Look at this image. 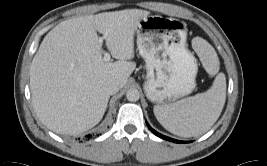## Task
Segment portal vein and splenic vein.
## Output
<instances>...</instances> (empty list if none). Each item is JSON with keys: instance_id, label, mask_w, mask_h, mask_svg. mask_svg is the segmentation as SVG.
I'll use <instances>...</instances> for the list:
<instances>
[{"instance_id": "portal-vein-and-splenic-vein-1", "label": "portal vein and splenic vein", "mask_w": 267, "mask_h": 166, "mask_svg": "<svg viewBox=\"0 0 267 166\" xmlns=\"http://www.w3.org/2000/svg\"><path fill=\"white\" fill-rule=\"evenodd\" d=\"M99 42L102 44L103 42V38H99ZM111 57L110 54L108 52L104 53V61H110Z\"/></svg>"}]
</instances>
